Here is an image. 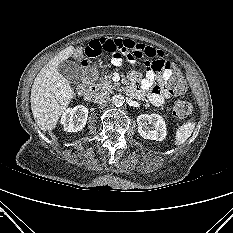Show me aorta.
Listing matches in <instances>:
<instances>
[{"mask_svg":"<svg viewBox=\"0 0 233 233\" xmlns=\"http://www.w3.org/2000/svg\"><path fill=\"white\" fill-rule=\"evenodd\" d=\"M112 103L115 106L120 107L125 103V98L122 94H116L112 97Z\"/></svg>","mask_w":233,"mask_h":233,"instance_id":"1","label":"aorta"}]
</instances>
